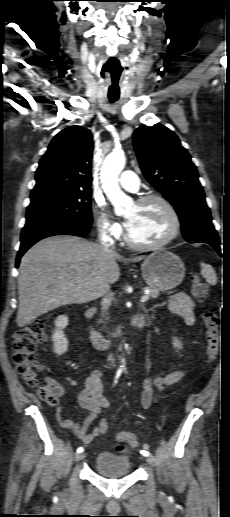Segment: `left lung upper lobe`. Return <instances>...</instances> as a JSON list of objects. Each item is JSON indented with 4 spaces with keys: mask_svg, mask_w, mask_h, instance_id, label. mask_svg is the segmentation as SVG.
<instances>
[{
    "mask_svg": "<svg viewBox=\"0 0 230 517\" xmlns=\"http://www.w3.org/2000/svg\"><path fill=\"white\" fill-rule=\"evenodd\" d=\"M133 144L147 181L175 207L184 238L218 237L198 171L177 135L165 126H141Z\"/></svg>",
    "mask_w": 230,
    "mask_h": 517,
    "instance_id": "1",
    "label": "left lung upper lobe"
}]
</instances>
